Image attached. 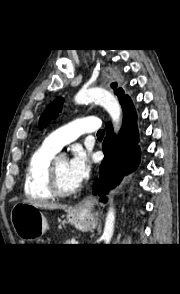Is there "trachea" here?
I'll return each instance as SVG.
<instances>
[{"label":"trachea","instance_id":"3493384b","mask_svg":"<svg viewBox=\"0 0 180 294\" xmlns=\"http://www.w3.org/2000/svg\"><path fill=\"white\" fill-rule=\"evenodd\" d=\"M104 135V130H99L97 132V136L100 137V136H103Z\"/></svg>","mask_w":180,"mask_h":294}]
</instances>
